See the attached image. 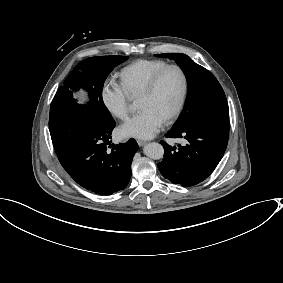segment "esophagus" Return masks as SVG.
<instances>
[{
	"label": "esophagus",
	"mask_w": 283,
	"mask_h": 283,
	"mask_svg": "<svg viewBox=\"0 0 283 283\" xmlns=\"http://www.w3.org/2000/svg\"><path fill=\"white\" fill-rule=\"evenodd\" d=\"M146 143H147V142L144 141V140H140V139L137 140V144H138L139 146H143V145H145Z\"/></svg>",
	"instance_id": "obj_1"
}]
</instances>
